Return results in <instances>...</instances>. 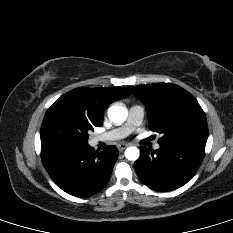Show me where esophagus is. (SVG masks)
<instances>
[{"label":"esophagus","mask_w":233,"mask_h":233,"mask_svg":"<svg viewBox=\"0 0 233 233\" xmlns=\"http://www.w3.org/2000/svg\"><path fill=\"white\" fill-rule=\"evenodd\" d=\"M126 147H128V144L121 143L118 145V150L122 152Z\"/></svg>","instance_id":"esophagus-1"}]
</instances>
